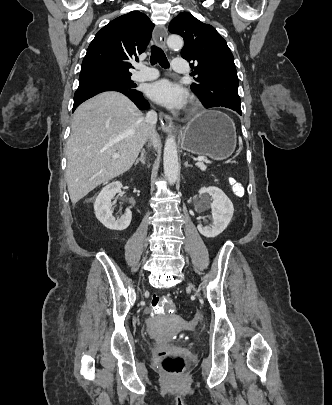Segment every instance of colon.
Listing matches in <instances>:
<instances>
[{"instance_id":"colon-1","label":"colon","mask_w":332,"mask_h":405,"mask_svg":"<svg viewBox=\"0 0 332 405\" xmlns=\"http://www.w3.org/2000/svg\"><path fill=\"white\" fill-rule=\"evenodd\" d=\"M229 186L234 194L241 195V185L233 179L229 180ZM177 304L169 296L155 295L151 301V309L158 314H165L168 319L177 317ZM160 365L163 371L169 374H180L188 366V360L181 354H161Z\"/></svg>"}]
</instances>
